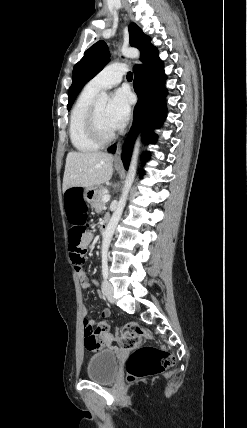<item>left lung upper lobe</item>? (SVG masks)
<instances>
[{
	"instance_id": "5c2ea615",
	"label": "left lung upper lobe",
	"mask_w": 247,
	"mask_h": 428,
	"mask_svg": "<svg viewBox=\"0 0 247 428\" xmlns=\"http://www.w3.org/2000/svg\"><path fill=\"white\" fill-rule=\"evenodd\" d=\"M129 40L131 46L140 50L142 62L155 53H158L156 47L151 44V39L145 35L135 23H132L129 26ZM109 60L110 53L108 46L102 40L96 42L86 50L83 58L75 65L73 70L72 85L68 92V110L71 109L74 100L83 86L96 76V74L104 68Z\"/></svg>"
}]
</instances>
